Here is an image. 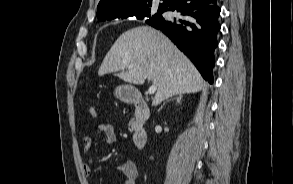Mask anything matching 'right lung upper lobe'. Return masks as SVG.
I'll return each mask as SVG.
<instances>
[{
	"mask_svg": "<svg viewBox=\"0 0 293 184\" xmlns=\"http://www.w3.org/2000/svg\"><path fill=\"white\" fill-rule=\"evenodd\" d=\"M169 1L163 0L159 9L165 10ZM151 5L152 0H101L97 7V17L101 21L134 17L139 12L150 10Z\"/></svg>",
	"mask_w": 293,
	"mask_h": 184,
	"instance_id": "obj_1",
	"label": "right lung upper lobe"
}]
</instances>
